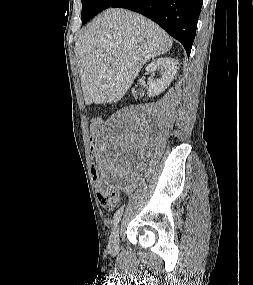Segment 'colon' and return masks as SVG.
<instances>
[{
    "label": "colon",
    "instance_id": "1",
    "mask_svg": "<svg viewBox=\"0 0 253 285\" xmlns=\"http://www.w3.org/2000/svg\"><path fill=\"white\" fill-rule=\"evenodd\" d=\"M100 124L99 119L94 118L91 120L90 134V163L89 168L93 180H96V192L101 206L106 210H113L119 201V193L112 187H110L103 180V175H100L98 167V126Z\"/></svg>",
    "mask_w": 253,
    "mask_h": 285
}]
</instances>
